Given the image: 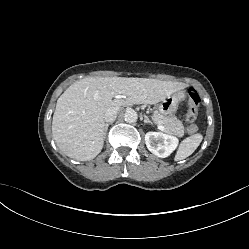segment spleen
<instances>
[{
	"label": "spleen",
	"mask_w": 249,
	"mask_h": 249,
	"mask_svg": "<svg viewBox=\"0 0 249 249\" xmlns=\"http://www.w3.org/2000/svg\"><path fill=\"white\" fill-rule=\"evenodd\" d=\"M203 139L202 134L196 133L186 139H184L176 153L175 161L183 160L189 157L200 145Z\"/></svg>",
	"instance_id": "spleen-1"
}]
</instances>
